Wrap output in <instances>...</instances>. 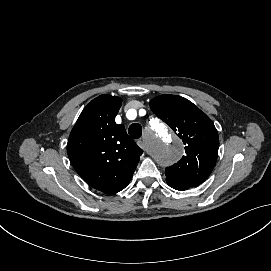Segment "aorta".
I'll return each mask as SVG.
<instances>
[{"mask_svg": "<svg viewBox=\"0 0 271 271\" xmlns=\"http://www.w3.org/2000/svg\"><path fill=\"white\" fill-rule=\"evenodd\" d=\"M147 133L149 149L155 161L163 166H171L177 162L182 154V144L175 140L165 125L158 121H151Z\"/></svg>", "mask_w": 271, "mask_h": 271, "instance_id": "762f6f07", "label": "aorta"}]
</instances>
